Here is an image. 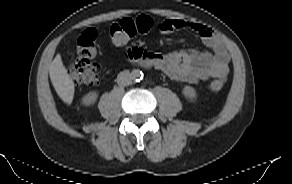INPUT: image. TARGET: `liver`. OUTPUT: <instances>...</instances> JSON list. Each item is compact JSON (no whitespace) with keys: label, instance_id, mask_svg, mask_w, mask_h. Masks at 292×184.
Listing matches in <instances>:
<instances>
[{"label":"liver","instance_id":"1","mask_svg":"<svg viewBox=\"0 0 292 184\" xmlns=\"http://www.w3.org/2000/svg\"><path fill=\"white\" fill-rule=\"evenodd\" d=\"M49 75L58 96L70 105L74 97V82L67 73L60 54H57L54 58L50 66Z\"/></svg>","mask_w":292,"mask_h":184}]
</instances>
